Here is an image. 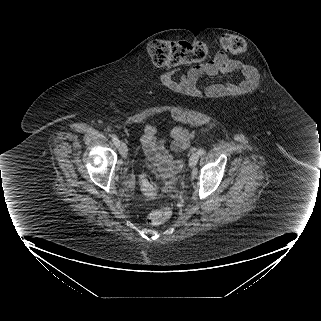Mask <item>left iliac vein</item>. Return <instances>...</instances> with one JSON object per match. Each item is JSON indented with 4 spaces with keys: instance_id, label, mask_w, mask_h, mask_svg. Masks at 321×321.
<instances>
[{
    "instance_id": "left-iliac-vein-1",
    "label": "left iliac vein",
    "mask_w": 321,
    "mask_h": 321,
    "mask_svg": "<svg viewBox=\"0 0 321 321\" xmlns=\"http://www.w3.org/2000/svg\"><path fill=\"white\" fill-rule=\"evenodd\" d=\"M198 160H199V155H198V153H193V154L190 156V159H189V166H190L191 168H194V167L196 166Z\"/></svg>"
}]
</instances>
